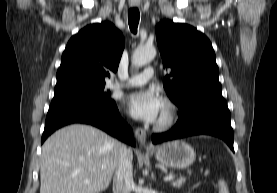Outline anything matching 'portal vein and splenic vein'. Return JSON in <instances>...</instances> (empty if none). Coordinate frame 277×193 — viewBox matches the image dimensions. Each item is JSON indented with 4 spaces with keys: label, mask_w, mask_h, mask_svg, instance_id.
<instances>
[{
    "label": "portal vein and splenic vein",
    "mask_w": 277,
    "mask_h": 193,
    "mask_svg": "<svg viewBox=\"0 0 277 193\" xmlns=\"http://www.w3.org/2000/svg\"><path fill=\"white\" fill-rule=\"evenodd\" d=\"M174 178H175V176L169 175V176L164 177V181H171V180H173Z\"/></svg>",
    "instance_id": "portal-vein-and-splenic-vein-1"
}]
</instances>
